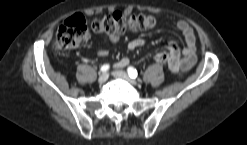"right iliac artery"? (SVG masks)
<instances>
[{
    "label": "right iliac artery",
    "instance_id": "right-iliac-artery-1",
    "mask_svg": "<svg viewBox=\"0 0 247 145\" xmlns=\"http://www.w3.org/2000/svg\"><path fill=\"white\" fill-rule=\"evenodd\" d=\"M109 68H110V66H109L108 64H105V65H103V66L101 67V71H102V72H106V71L109 70Z\"/></svg>",
    "mask_w": 247,
    "mask_h": 145
}]
</instances>
